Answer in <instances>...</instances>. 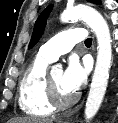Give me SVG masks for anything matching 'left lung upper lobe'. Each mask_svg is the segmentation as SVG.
I'll return each mask as SVG.
<instances>
[{"mask_svg": "<svg viewBox=\"0 0 118 123\" xmlns=\"http://www.w3.org/2000/svg\"><path fill=\"white\" fill-rule=\"evenodd\" d=\"M91 3L94 4H101L100 0H88ZM53 8V5H49L47 8H45L42 13L40 14V16L38 17V19L36 20L35 26H34V30H33V34L30 40V44H29V49H31L40 39V37L43 34L46 22H47V18L51 12Z\"/></svg>", "mask_w": 118, "mask_h": 123, "instance_id": "obj_1", "label": "left lung upper lobe"}]
</instances>
